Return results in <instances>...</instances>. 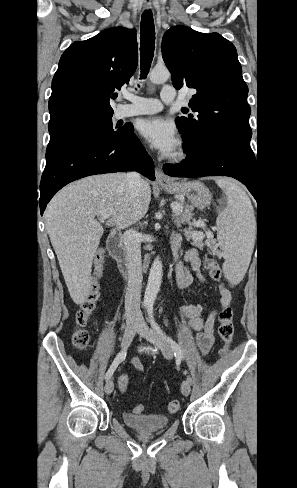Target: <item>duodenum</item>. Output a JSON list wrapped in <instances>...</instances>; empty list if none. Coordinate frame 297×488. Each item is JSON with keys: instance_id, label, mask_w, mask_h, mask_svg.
<instances>
[{"instance_id": "410a0bca", "label": "duodenum", "mask_w": 297, "mask_h": 488, "mask_svg": "<svg viewBox=\"0 0 297 488\" xmlns=\"http://www.w3.org/2000/svg\"><path fill=\"white\" fill-rule=\"evenodd\" d=\"M107 248L113 259L117 262L120 272L125 277H130L131 268L122 245V234L119 231H112L107 240Z\"/></svg>"}]
</instances>
